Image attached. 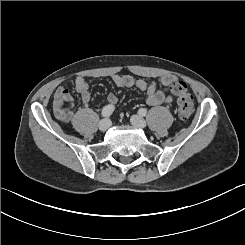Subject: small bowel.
Here are the masks:
<instances>
[{"mask_svg":"<svg viewBox=\"0 0 245 245\" xmlns=\"http://www.w3.org/2000/svg\"><path fill=\"white\" fill-rule=\"evenodd\" d=\"M113 82L122 88L135 87L145 94L147 104L157 106L168 104L173 101L172 95L169 93L171 85L177 78L171 74L162 75L157 82H147L143 79H135L130 75L114 74ZM74 88L79 94L82 103L87 104L90 100L89 85L87 81L79 76L74 80ZM118 97L114 93H110L107 97V105L115 106ZM73 100L70 92L64 86H59L53 98V111L57 119L64 123L72 122L74 113L71 109Z\"/></svg>","mask_w":245,"mask_h":245,"instance_id":"1","label":"small bowel"}]
</instances>
